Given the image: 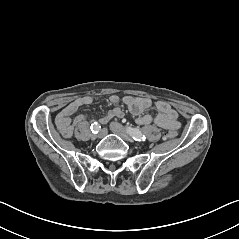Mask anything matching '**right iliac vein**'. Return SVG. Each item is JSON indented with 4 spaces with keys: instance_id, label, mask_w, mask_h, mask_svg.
Masks as SVG:
<instances>
[{
    "instance_id": "right-iliac-vein-1",
    "label": "right iliac vein",
    "mask_w": 239,
    "mask_h": 239,
    "mask_svg": "<svg viewBox=\"0 0 239 239\" xmlns=\"http://www.w3.org/2000/svg\"><path fill=\"white\" fill-rule=\"evenodd\" d=\"M106 134H107V129L103 128V129L99 132V134L97 135V137H98V138H103V137L106 136Z\"/></svg>"
}]
</instances>
